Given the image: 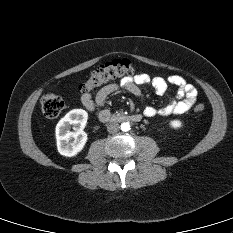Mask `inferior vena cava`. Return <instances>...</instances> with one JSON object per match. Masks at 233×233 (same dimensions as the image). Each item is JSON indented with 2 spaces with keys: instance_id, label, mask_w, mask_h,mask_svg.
Returning a JSON list of instances; mask_svg holds the SVG:
<instances>
[{
  "instance_id": "obj_1",
  "label": "inferior vena cava",
  "mask_w": 233,
  "mask_h": 233,
  "mask_svg": "<svg viewBox=\"0 0 233 233\" xmlns=\"http://www.w3.org/2000/svg\"><path fill=\"white\" fill-rule=\"evenodd\" d=\"M119 129H120V126H119V124L116 123V122H112V123H109V124L107 125V131H108L109 133H115V132H117Z\"/></svg>"
}]
</instances>
